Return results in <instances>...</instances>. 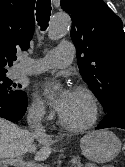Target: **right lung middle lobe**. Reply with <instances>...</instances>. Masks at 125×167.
<instances>
[{
  "instance_id": "dd1d6c3e",
  "label": "right lung middle lobe",
  "mask_w": 125,
  "mask_h": 167,
  "mask_svg": "<svg viewBox=\"0 0 125 167\" xmlns=\"http://www.w3.org/2000/svg\"><path fill=\"white\" fill-rule=\"evenodd\" d=\"M21 85L13 83L5 73H0V94L12 100H19L24 97L25 92L18 90Z\"/></svg>"
}]
</instances>
